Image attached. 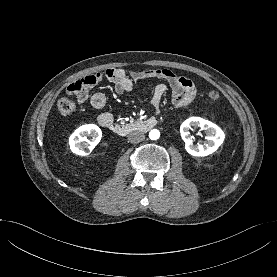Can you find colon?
<instances>
[{"mask_svg":"<svg viewBox=\"0 0 277 277\" xmlns=\"http://www.w3.org/2000/svg\"><path fill=\"white\" fill-rule=\"evenodd\" d=\"M76 92L84 91V81H77V85L73 88ZM206 99L209 104L215 105L222 100V94L217 90H210L206 93ZM76 108V104L69 98L62 97L57 102V110L61 115H69Z\"/></svg>","mask_w":277,"mask_h":277,"instance_id":"1","label":"colon"}]
</instances>
